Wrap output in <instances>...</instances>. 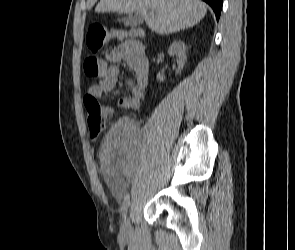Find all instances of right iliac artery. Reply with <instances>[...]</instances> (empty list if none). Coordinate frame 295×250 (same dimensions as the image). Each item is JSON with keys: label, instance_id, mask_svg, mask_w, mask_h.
Instances as JSON below:
<instances>
[{"label": "right iliac artery", "instance_id": "right-iliac-artery-1", "mask_svg": "<svg viewBox=\"0 0 295 250\" xmlns=\"http://www.w3.org/2000/svg\"><path fill=\"white\" fill-rule=\"evenodd\" d=\"M130 205V196L127 194L124 198L123 205H122V218H126L128 207Z\"/></svg>", "mask_w": 295, "mask_h": 250}]
</instances>
